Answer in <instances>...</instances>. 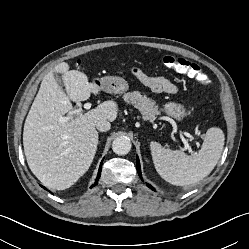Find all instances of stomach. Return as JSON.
I'll use <instances>...</instances> for the list:
<instances>
[{"instance_id":"1","label":"stomach","mask_w":249,"mask_h":249,"mask_svg":"<svg viewBox=\"0 0 249 249\" xmlns=\"http://www.w3.org/2000/svg\"><path fill=\"white\" fill-rule=\"evenodd\" d=\"M99 84L104 91L113 94H123L129 89L128 82L117 76H105L99 80ZM164 111L179 121L186 116L184 106L175 102L165 104Z\"/></svg>"}]
</instances>
